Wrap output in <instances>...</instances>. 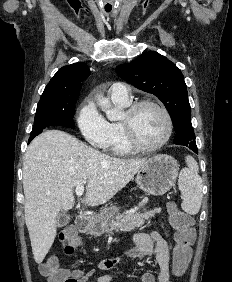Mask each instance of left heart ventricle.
<instances>
[{
	"mask_svg": "<svg viewBox=\"0 0 232 282\" xmlns=\"http://www.w3.org/2000/svg\"><path fill=\"white\" fill-rule=\"evenodd\" d=\"M134 131L137 139L144 145L160 142L167 131L163 114L151 106L142 107L134 116Z\"/></svg>",
	"mask_w": 232,
	"mask_h": 282,
	"instance_id": "left-heart-ventricle-1",
	"label": "left heart ventricle"
}]
</instances>
